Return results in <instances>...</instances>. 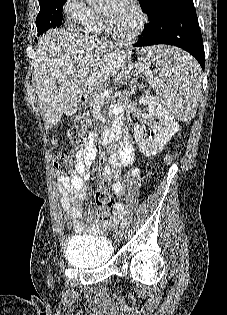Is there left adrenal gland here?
<instances>
[{
  "label": "left adrenal gland",
  "instance_id": "obj_1",
  "mask_svg": "<svg viewBox=\"0 0 227 315\" xmlns=\"http://www.w3.org/2000/svg\"><path fill=\"white\" fill-rule=\"evenodd\" d=\"M136 82H137V80H133V81L131 82V84H136ZM134 88H136V85H134V86L132 87L131 95L134 93ZM128 93H129V92H128Z\"/></svg>",
  "mask_w": 227,
  "mask_h": 315
}]
</instances>
